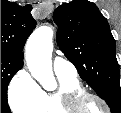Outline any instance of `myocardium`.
I'll return each mask as SVG.
<instances>
[{"label": "myocardium", "instance_id": "obj_1", "mask_svg": "<svg viewBox=\"0 0 121 113\" xmlns=\"http://www.w3.org/2000/svg\"><path fill=\"white\" fill-rule=\"evenodd\" d=\"M87 100H96L98 101L105 109L104 113H110V106L108 102L101 96L89 93L86 91H77L72 98V109H83L82 106L85 105Z\"/></svg>", "mask_w": 121, "mask_h": 113}]
</instances>
